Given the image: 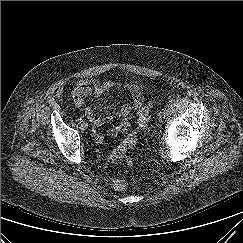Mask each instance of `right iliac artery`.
<instances>
[{
	"instance_id": "obj_1",
	"label": "right iliac artery",
	"mask_w": 243,
	"mask_h": 243,
	"mask_svg": "<svg viewBox=\"0 0 243 243\" xmlns=\"http://www.w3.org/2000/svg\"><path fill=\"white\" fill-rule=\"evenodd\" d=\"M77 121H78V122H81V121H82V118H81V117H78V118H77Z\"/></svg>"
}]
</instances>
